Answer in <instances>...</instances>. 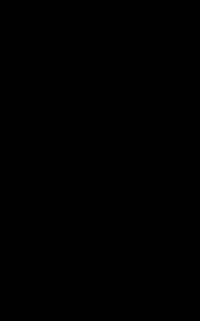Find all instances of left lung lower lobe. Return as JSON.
Wrapping results in <instances>:
<instances>
[{
  "label": "left lung lower lobe",
  "mask_w": 200,
  "mask_h": 321,
  "mask_svg": "<svg viewBox=\"0 0 200 321\" xmlns=\"http://www.w3.org/2000/svg\"><path fill=\"white\" fill-rule=\"evenodd\" d=\"M113 202L119 219L136 223L156 214L167 201L173 181L162 177H146L124 184Z\"/></svg>",
  "instance_id": "obj_1"
}]
</instances>
